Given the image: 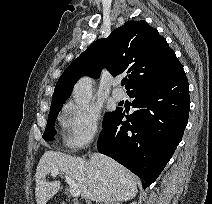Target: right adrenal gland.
<instances>
[{
	"label": "right adrenal gland",
	"instance_id": "obj_1",
	"mask_svg": "<svg viewBox=\"0 0 212 204\" xmlns=\"http://www.w3.org/2000/svg\"><path fill=\"white\" fill-rule=\"evenodd\" d=\"M105 204H107V203H105ZM111 204H116V203L114 202V203H111Z\"/></svg>",
	"mask_w": 212,
	"mask_h": 204
}]
</instances>
